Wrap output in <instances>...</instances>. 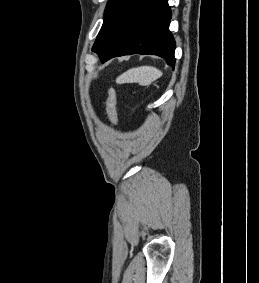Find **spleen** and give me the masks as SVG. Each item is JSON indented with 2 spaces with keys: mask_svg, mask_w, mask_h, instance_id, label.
I'll return each instance as SVG.
<instances>
[{
  "mask_svg": "<svg viewBox=\"0 0 259 283\" xmlns=\"http://www.w3.org/2000/svg\"><path fill=\"white\" fill-rule=\"evenodd\" d=\"M162 72L152 66H141L132 68L120 76L119 80L124 83H139L142 86H147L153 81L160 78Z\"/></svg>",
  "mask_w": 259,
  "mask_h": 283,
  "instance_id": "3e777b00",
  "label": "spleen"
}]
</instances>
